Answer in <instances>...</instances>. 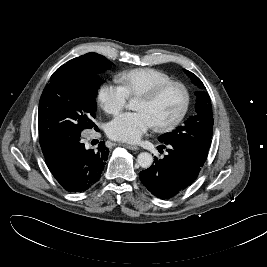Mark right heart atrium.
<instances>
[{
  "label": "right heart atrium",
  "mask_w": 267,
  "mask_h": 267,
  "mask_svg": "<svg viewBox=\"0 0 267 267\" xmlns=\"http://www.w3.org/2000/svg\"><path fill=\"white\" fill-rule=\"evenodd\" d=\"M98 103L110 115L119 113L128 102V95L121 84L105 83L98 91Z\"/></svg>",
  "instance_id": "d8ad5b80"
}]
</instances>
